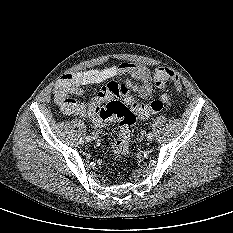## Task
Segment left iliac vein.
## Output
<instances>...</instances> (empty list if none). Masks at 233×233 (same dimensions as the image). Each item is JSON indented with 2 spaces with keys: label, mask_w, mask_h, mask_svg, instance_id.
Segmentation results:
<instances>
[{
  "label": "left iliac vein",
  "mask_w": 233,
  "mask_h": 233,
  "mask_svg": "<svg viewBox=\"0 0 233 233\" xmlns=\"http://www.w3.org/2000/svg\"><path fill=\"white\" fill-rule=\"evenodd\" d=\"M147 135V132L145 130H140L139 131V136L140 137H145Z\"/></svg>",
  "instance_id": "obj_1"
}]
</instances>
